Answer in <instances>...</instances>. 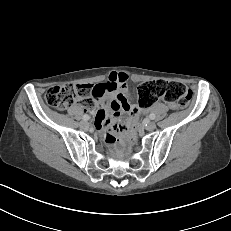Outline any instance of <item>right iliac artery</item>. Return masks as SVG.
I'll use <instances>...</instances> for the list:
<instances>
[{"label": "right iliac artery", "instance_id": "obj_1", "mask_svg": "<svg viewBox=\"0 0 231 231\" xmlns=\"http://www.w3.org/2000/svg\"><path fill=\"white\" fill-rule=\"evenodd\" d=\"M82 119H83L84 121H87V120L90 119V116H89V115H84V116L82 117Z\"/></svg>", "mask_w": 231, "mask_h": 231}]
</instances>
